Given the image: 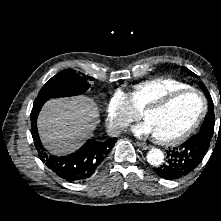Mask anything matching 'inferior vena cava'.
Segmentation results:
<instances>
[{"mask_svg":"<svg viewBox=\"0 0 221 221\" xmlns=\"http://www.w3.org/2000/svg\"><path fill=\"white\" fill-rule=\"evenodd\" d=\"M107 132L110 136L116 137L121 133V129L120 127H112Z\"/></svg>","mask_w":221,"mask_h":221,"instance_id":"inferior-vena-cava-1","label":"inferior vena cava"}]
</instances>
